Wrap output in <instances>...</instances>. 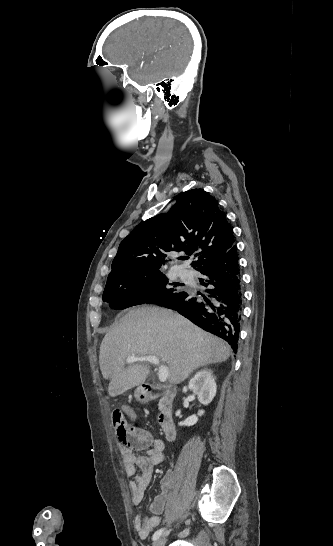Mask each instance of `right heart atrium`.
I'll return each mask as SVG.
<instances>
[{
	"label": "right heart atrium",
	"mask_w": 333,
	"mask_h": 546,
	"mask_svg": "<svg viewBox=\"0 0 333 546\" xmlns=\"http://www.w3.org/2000/svg\"><path fill=\"white\" fill-rule=\"evenodd\" d=\"M152 291L153 290L151 287L147 285H141L137 289V294L139 295V297L144 298V297H148L152 293Z\"/></svg>",
	"instance_id": "1"
}]
</instances>
